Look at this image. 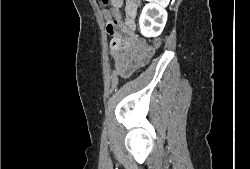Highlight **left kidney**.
<instances>
[{
	"instance_id": "obj_1",
	"label": "left kidney",
	"mask_w": 250,
	"mask_h": 169,
	"mask_svg": "<svg viewBox=\"0 0 250 169\" xmlns=\"http://www.w3.org/2000/svg\"><path fill=\"white\" fill-rule=\"evenodd\" d=\"M167 10L157 2L145 4L139 18L140 30L144 36H158L167 22Z\"/></svg>"
}]
</instances>
